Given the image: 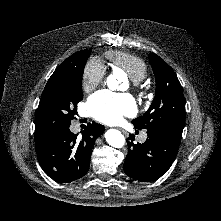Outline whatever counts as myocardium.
Wrapping results in <instances>:
<instances>
[{
	"mask_svg": "<svg viewBox=\"0 0 221 221\" xmlns=\"http://www.w3.org/2000/svg\"><path fill=\"white\" fill-rule=\"evenodd\" d=\"M134 87L137 88V89H139L140 86H139L138 83H134Z\"/></svg>",
	"mask_w": 221,
	"mask_h": 221,
	"instance_id": "myocardium-1",
	"label": "myocardium"
}]
</instances>
